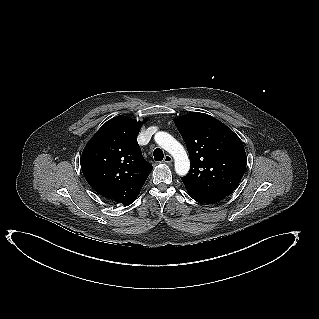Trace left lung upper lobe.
Listing matches in <instances>:
<instances>
[{"label":"left lung upper lobe","mask_w":319,"mask_h":319,"mask_svg":"<svg viewBox=\"0 0 319 319\" xmlns=\"http://www.w3.org/2000/svg\"><path fill=\"white\" fill-rule=\"evenodd\" d=\"M190 157V171L181 180L187 190L220 201L239 185L247 164L241 139L205 113H188L174 120Z\"/></svg>","instance_id":"obj_1"}]
</instances>
